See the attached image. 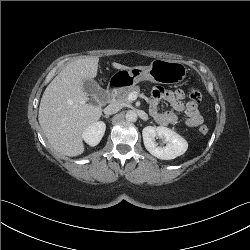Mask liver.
<instances>
[{"mask_svg": "<svg viewBox=\"0 0 250 250\" xmlns=\"http://www.w3.org/2000/svg\"><path fill=\"white\" fill-rule=\"evenodd\" d=\"M98 57H85L69 63L45 89L38 120L51 147L67 156L84 152L83 131L97 122L102 109L88 102L83 90L87 79L97 76ZM118 70L130 68L112 63Z\"/></svg>", "mask_w": 250, "mask_h": 250, "instance_id": "6515ba94", "label": "liver"}]
</instances>
